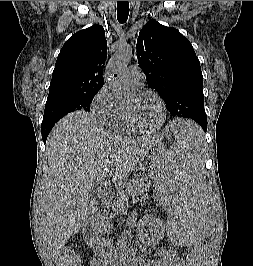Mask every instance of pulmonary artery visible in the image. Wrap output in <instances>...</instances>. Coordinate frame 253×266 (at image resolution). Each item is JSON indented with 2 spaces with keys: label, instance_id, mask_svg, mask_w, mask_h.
I'll list each match as a JSON object with an SVG mask.
<instances>
[{
  "label": "pulmonary artery",
  "instance_id": "obj_1",
  "mask_svg": "<svg viewBox=\"0 0 253 266\" xmlns=\"http://www.w3.org/2000/svg\"><path fill=\"white\" fill-rule=\"evenodd\" d=\"M126 79L132 87H138L142 84L143 73L136 65H131L126 70Z\"/></svg>",
  "mask_w": 253,
  "mask_h": 266
}]
</instances>
